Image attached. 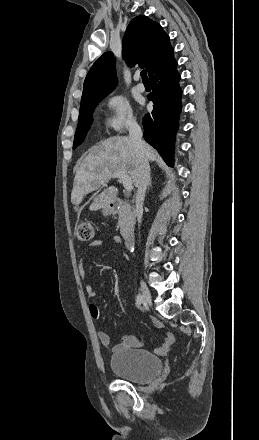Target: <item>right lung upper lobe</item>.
I'll return each mask as SVG.
<instances>
[{"mask_svg": "<svg viewBox=\"0 0 259 440\" xmlns=\"http://www.w3.org/2000/svg\"><path fill=\"white\" fill-rule=\"evenodd\" d=\"M123 56L129 65L138 63L146 67L150 76L173 56V48L160 24L146 16H138L129 23L125 32ZM116 84L115 58L112 52H106L93 64L85 78L81 104L105 97Z\"/></svg>", "mask_w": 259, "mask_h": 440, "instance_id": "cb5924a9", "label": "right lung upper lobe"}]
</instances>
